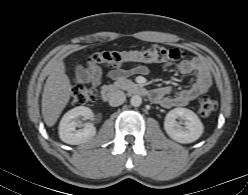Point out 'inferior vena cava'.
Here are the masks:
<instances>
[{
    "instance_id": "obj_1",
    "label": "inferior vena cava",
    "mask_w": 248,
    "mask_h": 195,
    "mask_svg": "<svg viewBox=\"0 0 248 195\" xmlns=\"http://www.w3.org/2000/svg\"><path fill=\"white\" fill-rule=\"evenodd\" d=\"M125 100H126L125 93L121 90H116L115 92L112 93L109 99V104L112 107H116L122 105L125 102Z\"/></svg>"
}]
</instances>
